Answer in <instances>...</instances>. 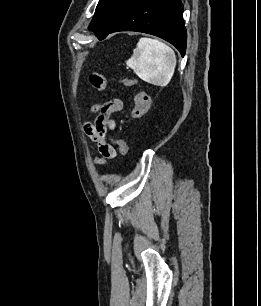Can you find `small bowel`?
I'll return each mask as SVG.
<instances>
[{
    "label": "small bowel",
    "mask_w": 261,
    "mask_h": 306,
    "mask_svg": "<svg viewBox=\"0 0 261 306\" xmlns=\"http://www.w3.org/2000/svg\"><path fill=\"white\" fill-rule=\"evenodd\" d=\"M122 108L123 102L120 99L98 105L94 108L97 111L94 123H87L84 127L87 136L98 146L101 156L99 162L116 157V150L107 142L105 134L108 128L115 127V121L111 119V114Z\"/></svg>",
    "instance_id": "obj_1"
}]
</instances>
